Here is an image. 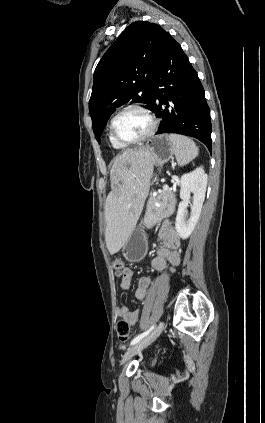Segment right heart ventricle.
Wrapping results in <instances>:
<instances>
[{"mask_svg":"<svg viewBox=\"0 0 265 423\" xmlns=\"http://www.w3.org/2000/svg\"><path fill=\"white\" fill-rule=\"evenodd\" d=\"M109 142L111 144V146L116 149V150H122L124 149L126 146L119 144L118 142H116L111 135L109 134Z\"/></svg>","mask_w":265,"mask_h":423,"instance_id":"1","label":"right heart ventricle"}]
</instances>
